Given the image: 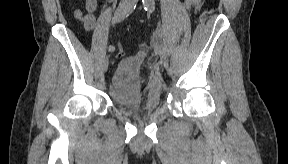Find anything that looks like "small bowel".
Listing matches in <instances>:
<instances>
[{"instance_id": "c3829d8e", "label": "small bowel", "mask_w": 288, "mask_h": 164, "mask_svg": "<svg viewBox=\"0 0 288 164\" xmlns=\"http://www.w3.org/2000/svg\"><path fill=\"white\" fill-rule=\"evenodd\" d=\"M96 5L95 0H87L85 5L86 12L84 14L80 9H76L74 12L75 17L82 20L87 29H91L95 23L94 11Z\"/></svg>"}]
</instances>
